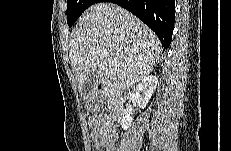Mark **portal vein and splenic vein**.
I'll return each instance as SVG.
<instances>
[{
  "label": "portal vein and splenic vein",
  "mask_w": 231,
  "mask_h": 151,
  "mask_svg": "<svg viewBox=\"0 0 231 151\" xmlns=\"http://www.w3.org/2000/svg\"><path fill=\"white\" fill-rule=\"evenodd\" d=\"M101 56H102L103 58L106 57V56H107V52L102 51V52H101ZM109 63L112 64V65H116V64H117V62H116L115 60H112V59H109Z\"/></svg>",
  "instance_id": "obj_1"
}]
</instances>
